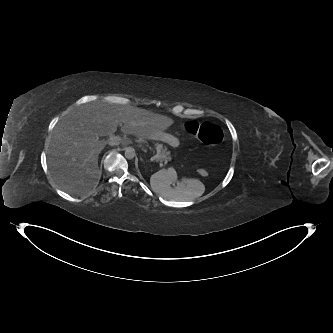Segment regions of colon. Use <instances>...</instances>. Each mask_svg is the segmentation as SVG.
Wrapping results in <instances>:
<instances>
[{"label":"colon","instance_id":"obj_1","mask_svg":"<svg viewBox=\"0 0 333 333\" xmlns=\"http://www.w3.org/2000/svg\"><path fill=\"white\" fill-rule=\"evenodd\" d=\"M185 129L188 133L196 136L199 140L208 145H217L223 140L222 129L210 122L187 121L185 123ZM199 174L202 176L207 175L203 169L199 170Z\"/></svg>","mask_w":333,"mask_h":333}]
</instances>
